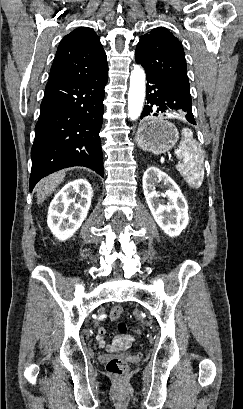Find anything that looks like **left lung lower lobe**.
<instances>
[{"mask_svg": "<svg viewBox=\"0 0 243 409\" xmlns=\"http://www.w3.org/2000/svg\"><path fill=\"white\" fill-rule=\"evenodd\" d=\"M147 81V105L144 106L141 119L145 116L177 112L196 125L192 114L190 89L151 74H147Z\"/></svg>", "mask_w": 243, "mask_h": 409, "instance_id": "left-lung-lower-lobe-1", "label": "left lung lower lobe"}]
</instances>
